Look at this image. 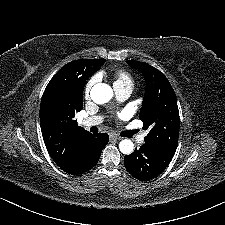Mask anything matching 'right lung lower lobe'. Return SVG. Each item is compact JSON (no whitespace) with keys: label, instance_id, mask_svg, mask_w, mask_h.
Segmentation results:
<instances>
[{"label":"right lung lower lobe","instance_id":"obj_1","mask_svg":"<svg viewBox=\"0 0 225 225\" xmlns=\"http://www.w3.org/2000/svg\"><path fill=\"white\" fill-rule=\"evenodd\" d=\"M108 134H90L81 140L77 146V155L75 157V166L65 171L73 175H79L90 170L95 166L103 148L108 143Z\"/></svg>","mask_w":225,"mask_h":225}]
</instances>
